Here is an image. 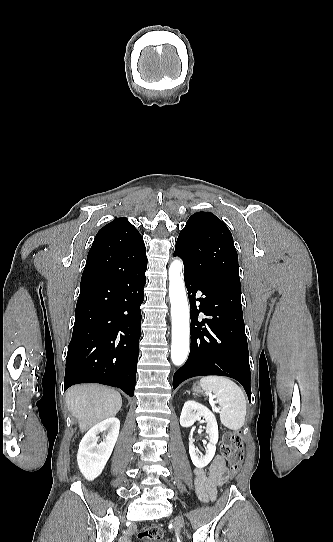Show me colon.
Returning <instances> with one entry per match:
<instances>
[{
	"instance_id": "colon-1",
	"label": "colon",
	"mask_w": 333,
	"mask_h": 542,
	"mask_svg": "<svg viewBox=\"0 0 333 542\" xmlns=\"http://www.w3.org/2000/svg\"><path fill=\"white\" fill-rule=\"evenodd\" d=\"M243 435L240 431H227L223 436L220 450L225 457L229 470L236 474L239 470L243 455ZM138 539L143 542H160L163 539V532L160 527L151 525L138 533Z\"/></svg>"
}]
</instances>
